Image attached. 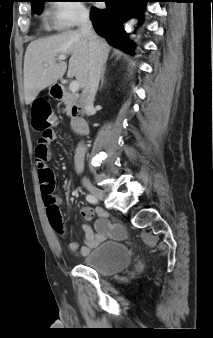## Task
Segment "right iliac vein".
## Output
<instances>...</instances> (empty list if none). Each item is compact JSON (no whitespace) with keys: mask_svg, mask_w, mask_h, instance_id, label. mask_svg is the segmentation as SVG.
<instances>
[{"mask_svg":"<svg viewBox=\"0 0 213 338\" xmlns=\"http://www.w3.org/2000/svg\"><path fill=\"white\" fill-rule=\"evenodd\" d=\"M87 190L98 199H104L105 193L91 184L86 185Z\"/></svg>","mask_w":213,"mask_h":338,"instance_id":"obj_1","label":"right iliac vein"}]
</instances>
